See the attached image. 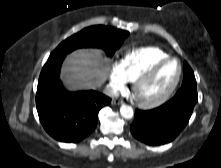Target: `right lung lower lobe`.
Returning <instances> with one entry per match:
<instances>
[{
	"instance_id": "obj_1",
	"label": "right lung lower lobe",
	"mask_w": 221,
	"mask_h": 168,
	"mask_svg": "<svg viewBox=\"0 0 221 168\" xmlns=\"http://www.w3.org/2000/svg\"><path fill=\"white\" fill-rule=\"evenodd\" d=\"M65 56L49 57L38 80L36 107L45 131L61 142L75 143L95 129L98 113L111 99L96 91H67L59 78Z\"/></svg>"
}]
</instances>
